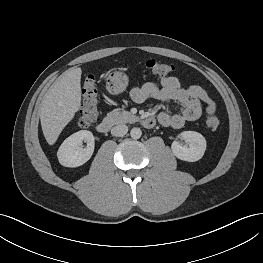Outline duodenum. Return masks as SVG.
I'll list each match as a JSON object with an SVG mask.
<instances>
[{
    "label": "duodenum",
    "mask_w": 263,
    "mask_h": 263,
    "mask_svg": "<svg viewBox=\"0 0 263 263\" xmlns=\"http://www.w3.org/2000/svg\"><path fill=\"white\" fill-rule=\"evenodd\" d=\"M141 122H142V125L144 127L152 128V127H154L156 120L151 116H146V117L142 118ZM112 125H113L112 120L104 119L96 125V130H97V132H99L101 134H105V133H108L110 131Z\"/></svg>",
    "instance_id": "410a0bca"
}]
</instances>
